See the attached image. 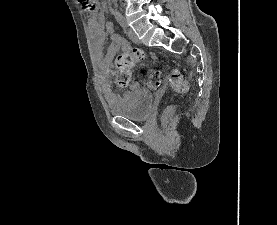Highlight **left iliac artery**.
Listing matches in <instances>:
<instances>
[{
  "label": "left iliac artery",
  "mask_w": 277,
  "mask_h": 225,
  "mask_svg": "<svg viewBox=\"0 0 277 225\" xmlns=\"http://www.w3.org/2000/svg\"><path fill=\"white\" fill-rule=\"evenodd\" d=\"M119 23L124 29L127 28V23L123 17L119 18Z\"/></svg>",
  "instance_id": "obj_1"
}]
</instances>
